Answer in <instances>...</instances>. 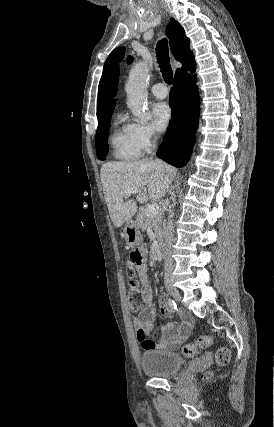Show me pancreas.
Here are the masks:
<instances>
[{"label": "pancreas", "mask_w": 274, "mask_h": 427, "mask_svg": "<svg viewBox=\"0 0 274 427\" xmlns=\"http://www.w3.org/2000/svg\"><path fill=\"white\" fill-rule=\"evenodd\" d=\"M147 208L148 206L140 208L137 214L136 221L138 223V227H141L142 231L147 229V227H153L155 235H157V237H161L162 233L160 225L164 212L159 210V214L153 215V217H151V215H147Z\"/></svg>", "instance_id": "pancreas-1"}]
</instances>
